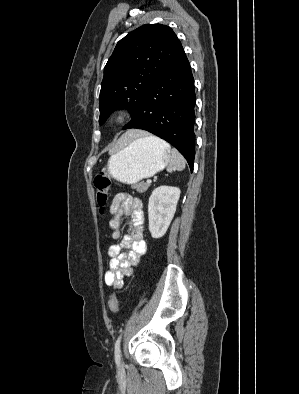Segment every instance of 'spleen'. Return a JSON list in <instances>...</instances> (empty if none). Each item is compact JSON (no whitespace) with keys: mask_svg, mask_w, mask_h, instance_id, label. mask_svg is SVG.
<instances>
[{"mask_svg":"<svg viewBox=\"0 0 299 394\" xmlns=\"http://www.w3.org/2000/svg\"><path fill=\"white\" fill-rule=\"evenodd\" d=\"M148 139H150L153 142L162 144L164 146H166L167 148H169L170 150V146L163 140L157 138V137H153V136H149L147 137ZM186 162L184 157L179 153V151H177L176 149H171L170 150V162L169 165L167 167V171L168 172H172V171H182L185 168Z\"/></svg>","mask_w":299,"mask_h":394,"instance_id":"spleen-1","label":"spleen"}]
</instances>
